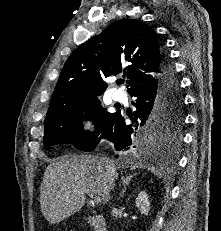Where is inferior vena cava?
<instances>
[{"instance_id": "602c4592", "label": "inferior vena cava", "mask_w": 221, "mask_h": 231, "mask_svg": "<svg viewBox=\"0 0 221 231\" xmlns=\"http://www.w3.org/2000/svg\"><path fill=\"white\" fill-rule=\"evenodd\" d=\"M100 162L105 166L106 171L108 172V187L109 190H113L115 186L116 178V168L113 161L107 157H101Z\"/></svg>"}]
</instances>
